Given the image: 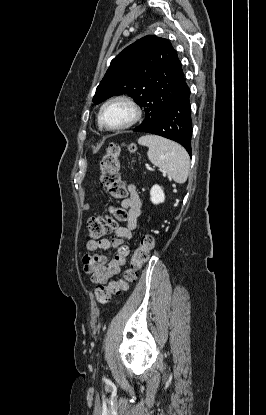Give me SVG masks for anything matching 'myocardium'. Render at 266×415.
Returning <instances> with one entry per match:
<instances>
[{"label": "myocardium", "mask_w": 266, "mask_h": 415, "mask_svg": "<svg viewBox=\"0 0 266 415\" xmlns=\"http://www.w3.org/2000/svg\"><path fill=\"white\" fill-rule=\"evenodd\" d=\"M114 103H123L127 105L132 112V116L126 123L122 125L108 126L103 121V112L109 105L114 104ZM141 115H142V112H141L139 105L132 98L126 95H116V96L111 97L110 99H108L102 104L99 110V114H98V123L102 128L108 131H121V130L128 129L132 127L133 125H135L140 120Z\"/></svg>", "instance_id": "myocardium-1"}]
</instances>
